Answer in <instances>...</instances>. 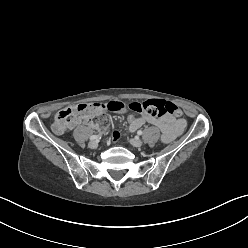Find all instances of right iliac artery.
I'll use <instances>...</instances> for the list:
<instances>
[{
  "label": "right iliac artery",
  "instance_id": "obj_1",
  "mask_svg": "<svg viewBox=\"0 0 248 248\" xmlns=\"http://www.w3.org/2000/svg\"><path fill=\"white\" fill-rule=\"evenodd\" d=\"M100 137L98 136V135H92L91 137H90V140H97V139H99Z\"/></svg>",
  "mask_w": 248,
  "mask_h": 248
}]
</instances>
